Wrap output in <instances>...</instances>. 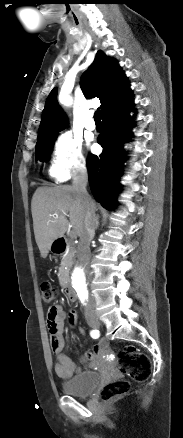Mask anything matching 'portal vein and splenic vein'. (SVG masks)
I'll return each mask as SVG.
<instances>
[{
    "instance_id": "obj_1",
    "label": "portal vein and splenic vein",
    "mask_w": 183,
    "mask_h": 438,
    "mask_svg": "<svg viewBox=\"0 0 183 438\" xmlns=\"http://www.w3.org/2000/svg\"><path fill=\"white\" fill-rule=\"evenodd\" d=\"M53 216H56V218L58 217L56 214H54ZM72 235H75L74 232H71Z\"/></svg>"
}]
</instances>
